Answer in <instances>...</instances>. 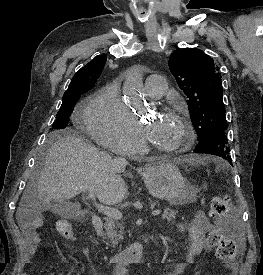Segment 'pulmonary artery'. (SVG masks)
Wrapping results in <instances>:
<instances>
[{"label": "pulmonary artery", "instance_id": "1", "mask_svg": "<svg viewBox=\"0 0 263 275\" xmlns=\"http://www.w3.org/2000/svg\"><path fill=\"white\" fill-rule=\"evenodd\" d=\"M145 89L151 98H161L167 90V84L161 75L153 74L147 77Z\"/></svg>", "mask_w": 263, "mask_h": 275}]
</instances>
